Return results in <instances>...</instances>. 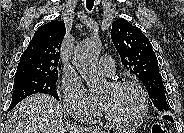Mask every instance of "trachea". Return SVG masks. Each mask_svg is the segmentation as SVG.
<instances>
[{"instance_id": "3493384b", "label": "trachea", "mask_w": 184, "mask_h": 133, "mask_svg": "<svg viewBox=\"0 0 184 133\" xmlns=\"http://www.w3.org/2000/svg\"><path fill=\"white\" fill-rule=\"evenodd\" d=\"M93 6H94V0H86V7L89 11L92 10Z\"/></svg>"}]
</instances>
